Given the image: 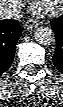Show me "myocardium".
Here are the masks:
<instances>
[{"label": "myocardium", "mask_w": 63, "mask_h": 107, "mask_svg": "<svg viewBox=\"0 0 63 107\" xmlns=\"http://www.w3.org/2000/svg\"><path fill=\"white\" fill-rule=\"evenodd\" d=\"M45 0H35L33 3V7L39 9L40 11H43L44 13L48 15H55L59 13L62 9L63 6V1L60 0L57 5L52 6V7H46L45 6Z\"/></svg>", "instance_id": "f54148a6"}]
</instances>
